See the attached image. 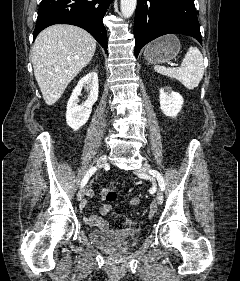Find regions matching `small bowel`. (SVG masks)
<instances>
[{
	"label": "small bowel",
	"instance_id": "obj_1",
	"mask_svg": "<svg viewBox=\"0 0 240 281\" xmlns=\"http://www.w3.org/2000/svg\"><path fill=\"white\" fill-rule=\"evenodd\" d=\"M110 184H114V183L111 182ZM86 195L87 197L92 198L95 196V192L93 190H88ZM101 196H104V193H102ZM138 202H139L138 197H132L127 200V203L129 205H136ZM85 207H86V201H83L80 205V208L83 210ZM110 210H111L110 204L104 203L98 207L96 214L84 216V221L90 227L104 229L108 225L104 216L107 215L110 212Z\"/></svg>",
	"mask_w": 240,
	"mask_h": 281
}]
</instances>
